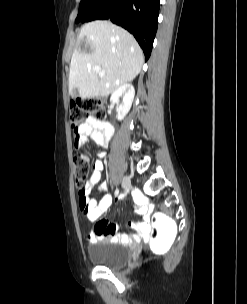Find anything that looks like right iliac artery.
<instances>
[{"instance_id":"obj_1","label":"right iliac artery","mask_w":247,"mask_h":304,"mask_svg":"<svg viewBox=\"0 0 247 304\" xmlns=\"http://www.w3.org/2000/svg\"><path fill=\"white\" fill-rule=\"evenodd\" d=\"M118 194H119V190L117 189V190L115 191V196H118Z\"/></svg>"}]
</instances>
